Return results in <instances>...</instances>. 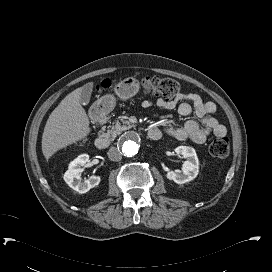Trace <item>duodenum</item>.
Returning a JSON list of instances; mask_svg holds the SVG:
<instances>
[{"mask_svg":"<svg viewBox=\"0 0 272 272\" xmlns=\"http://www.w3.org/2000/svg\"><path fill=\"white\" fill-rule=\"evenodd\" d=\"M107 107V103L105 102L99 103L98 105L94 106L89 111V119L96 124L103 122L107 113ZM147 136L151 140H159L162 137V132L158 127L151 126L147 131ZM109 144L110 140L109 137L106 135L98 136L95 141V146L100 150L108 148Z\"/></svg>","mask_w":272,"mask_h":272,"instance_id":"duodenum-1","label":"duodenum"}]
</instances>
